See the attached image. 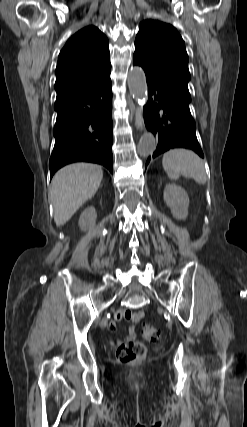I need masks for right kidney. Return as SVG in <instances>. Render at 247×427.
<instances>
[{"label": "right kidney", "mask_w": 247, "mask_h": 427, "mask_svg": "<svg viewBox=\"0 0 247 427\" xmlns=\"http://www.w3.org/2000/svg\"><path fill=\"white\" fill-rule=\"evenodd\" d=\"M97 212L93 206L87 207L79 218V227L83 231L91 230L95 226Z\"/></svg>", "instance_id": "right-kidney-1"}]
</instances>
